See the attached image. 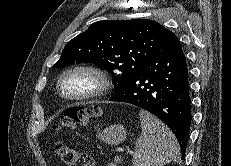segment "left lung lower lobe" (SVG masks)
Wrapping results in <instances>:
<instances>
[{"mask_svg":"<svg viewBox=\"0 0 231 166\" xmlns=\"http://www.w3.org/2000/svg\"><path fill=\"white\" fill-rule=\"evenodd\" d=\"M110 101L133 104L160 118L175 134L184 158L191 103L186 58L176 35Z\"/></svg>","mask_w":231,"mask_h":166,"instance_id":"1","label":"left lung lower lobe"}]
</instances>
